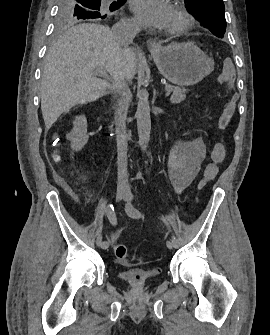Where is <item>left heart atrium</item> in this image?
Wrapping results in <instances>:
<instances>
[{
    "instance_id": "1",
    "label": "left heart atrium",
    "mask_w": 270,
    "mask_h": 335,
    "mask_svg": "<svg viewBox=\"0 0 270 335\" xmlns=\"http://www.w3.org/2000/svg\"><path fill=\"white\" fill-rule=\"evenodd\" d=\"M132 10L150 34L171 31L176 27L177 15L164 0H134Z\"/></svg>"
}]
</instances>
